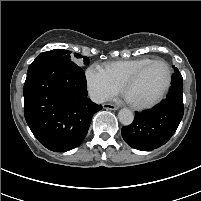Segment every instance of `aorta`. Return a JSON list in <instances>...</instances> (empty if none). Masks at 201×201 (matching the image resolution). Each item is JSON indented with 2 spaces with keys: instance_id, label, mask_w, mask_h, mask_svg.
<instances>
[{
  "instance_id": "1",
  "label": "aorta",
  "mask_w": 201,
  "mask_h": 201,
  "mask_svg": "<svg viewBox=\"0 0 201 201\" xmlns=\"http://www.w3.org/2000/svg\"><path fill=\"white\" fill-rule=\"evenodd\" d=\"M118 118L121 124L128 126L133 122L134 115L131 110L123 108L119 111Z\"/></svg>"
}]
</instances>
